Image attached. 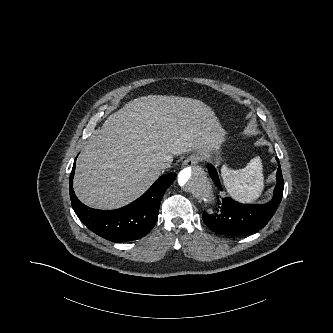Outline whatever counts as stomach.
Instances as JSON below:
<instances>
[{
  "mask_svg": "<svg viewBox=\"0 0 333 333\" xmlns=\"http://www.w3.org/2000/svg\"><path fill=\"white\" fill-rule=\"evenodd\" d=\"M216 141L217 145L221 144L224 141V132L218 128V133L216 135ZM217 160H219V157H217Z\"/></svg>",
  "mask_w": 333,
  "mask_h": 333,
  "instance_id": "1",
  "label": "stomach"
}]
</instances>
